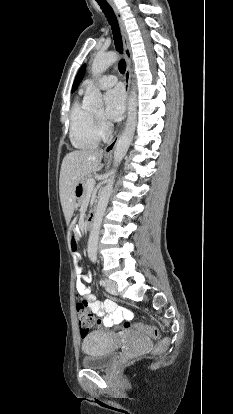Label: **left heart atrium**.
Listing matches in <instances>:
<instances>
[{"instance_id": "left-heart-atrium-1", "label": "left heart atrium", "mask_w": 233, "mask_h": 414, "mask_svg": "<svg viewBox=\"0 0 233 414\" xmlns=\"http://www.w3.org/2000/svg\"><path fill=\"white\" fill-rule=\"evenodd\" d=\"M105 113L106 120L113 122L121 118L125 109V93L121 87L108 90L105 94Z\"/></svg>"}]
</instances>
